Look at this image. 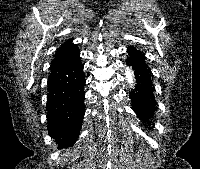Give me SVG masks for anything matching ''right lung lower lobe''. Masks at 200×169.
<instances>
[{
    "label": "right lung lower lobe",
    "instance_id": "98d812e1",
    "mask_svg": "<svg viewBox=\"0 0 200 169\" xmlns=\"http://www.w3.org/2000/svg\"><path fill=\"white\" fill-rule=\"evenodd\" d=\"M84 86L80 53L71 60L51 65L46 107L48 132L60 140V148L74 144L78 137L85 114Z\"/></svg>",
    "mask_w": 200,
    "mask_h": 169
}]
</instances>
